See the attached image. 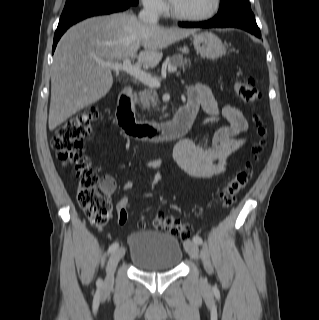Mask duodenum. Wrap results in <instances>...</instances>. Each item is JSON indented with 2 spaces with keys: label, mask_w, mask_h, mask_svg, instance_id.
Instances as JSON below:
<instances>
[{
  "label": "duodenum",
  "mask_w": 319,
  "mask_h": 320,
  "mask_svg": "<svg viewBox=\"0 0 319 320\" xmlns=\"http://www.w3.org/2000/svg\"><path fill=\"white\" fill-rule=\"evenodd\" d=\"M195 115V111L184 105L177 110L170 122L159 124L139 122L134 118L132 89L125 88L118 99V125L125 134L138 141L159 142L177 138L188 131Z\"/></svg>",
  "instance_id": "duodenum-1"
}]
</instances>
